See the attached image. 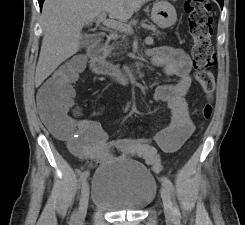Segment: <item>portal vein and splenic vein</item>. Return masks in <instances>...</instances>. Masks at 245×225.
I'll use <instances>...</instances> for the list:
<instances>
[{"label": "portal vein and splenic vein", "instance_id": "18ae733b", "mask_svg": "<svg viewBox=\"0 0 245 225\" xmlns=\"http://www.w3.org/2000/svg\"><path fill=\"white\" fill-rule=\"evenodd\" d=\"M97 19H98V22H101L104 26L108 28L121 31L126 34L133 33V29L130 25L126 23H122L121 21H116L114 19H107L106 13H101ZM146 42L151 43L153 42V39L151 37H147Z\"/></svg>", "mask_w": 245, "mask_h": 225}]
</instances>
